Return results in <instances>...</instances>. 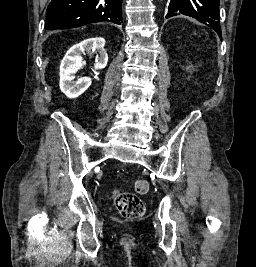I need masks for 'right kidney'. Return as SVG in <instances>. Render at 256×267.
Listing matches in <instances>:
<instances>
[{
    "mask_svg": "<svg viewBox=\"0 0 256 267\" xmlns=\"http://www.w3.org/2000/svg\"><path fill=\"white\" fill-rule=\"evenodd\" d=\"M95 50H98L99 58H96L94 70H102L107 66L108 62L104 38H87V40H83L80 44H75L66 52L60 64L59 86L61 92L67 98H78L91 86V78H78L76 82L74 80L77 70L86 64V62H83L82 54L95 52Z\"/></svg>",
    "mask_w": 256,
    "mask_h": 267,
    "instance_id": "ca27d5eb",
    "label": "right kidney"
}]
</instances>
